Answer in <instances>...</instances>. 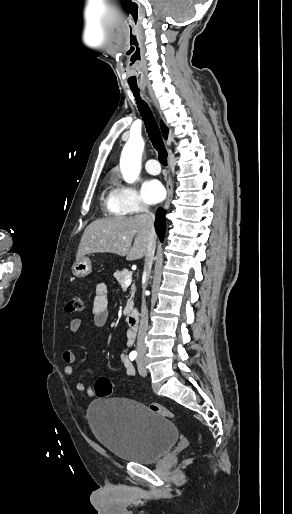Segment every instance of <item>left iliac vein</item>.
Here are the masks:
<instances>
[{"mask_svg": "<svg viewBox=\"0 0 292 514\" xmlns=\"http://www.w3.org/2000/svg\"><path fill=\"white\" fill-rule=\"evenodd\" d=\"M137 366H138V372L141 376H146L147 375V370L145 368V364H144V361L142 358H138L137 360Z\"/></svg>", "mask_w": 292, "mask_h": 514, "instance_id": "1", "label": "left iliac vein"}]
</instances>
